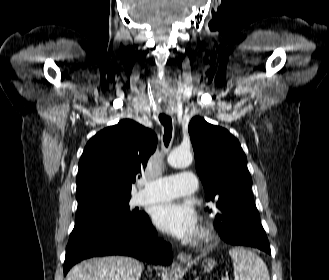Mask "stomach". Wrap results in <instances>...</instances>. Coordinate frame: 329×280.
Returning a JSON list of instances; mask_svg holds the SVG:
<instances>
[{
    "label": "stomach",
    "instance_id": "stomach-1",
    "mask_svg": "<svg viewBox=\"0 0 329 280\" xmlns=\"http://www.w3.org/2000/svg\"><path fill=\"white\" fill-rule=\"evenodd\" d=\"M202 266L205 271H210L214 268L215 266V261L212 259H205L202 263Z\"/></svg>",
    "mask_w": 329,
    "mask_h": 280
}]
</instances>
